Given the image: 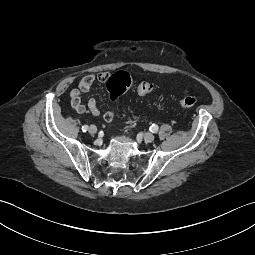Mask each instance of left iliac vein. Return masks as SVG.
Segmentation results:
<instances>
[{
    "mask_svg": "<svg viewBox=\"0 0 255 255\" xmlns=\"http://www.w3.org/2000/svg\"><path fill=\"white\" fill-rule=\"evenodd\" d=\"M154 139H155V137H154V135H153L152 133H144V134H143V140H144L145 142L150 143V142H153Z\"/></svg>",
    "mask_w": 255,
    "mask_h": 255,
    "instance_id": "4c4485c4",
    "label": "left iliac vein"
}]
</instances>
